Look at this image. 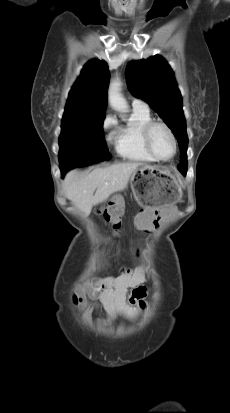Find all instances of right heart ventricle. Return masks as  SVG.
I'll return each instance as SVG.
<instances>
[{
	"label": "right heart ventricle",
	"mask_w": 230,
	"mask_h": 413,
	"mask_svg": "<svg viewBox=\"0 0 230 413\" xmlns=\"http://www.w3.org/2000/svg\"><path fill=\"white\" fill-rule=\"evenodd\" d=\"M152 120L148 108L134 107L131 120L120 126L115 136V151L123 159L139 163H153L142 138L144 126Z\"/></svg>",
	"instance_id": "right-heart-ventricle-1"
}]
</instances>
